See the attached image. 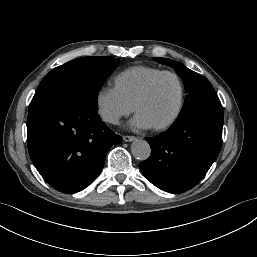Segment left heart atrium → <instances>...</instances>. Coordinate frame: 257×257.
<instances>
[{
	"mask_svg": "<svg viewBox=\"0 0 257 257\" xmlns=\"http://www.w3.org/2000/svg\"><path fill=\"white\" fill-rule=\"evenodd\" d=\"M130 125L134 129H147L152 127V124L140 113H136Z\"/></svg>",
	"mask_w": 257,
	"mask_h": 257,
	"instance_id": "obj_1",
	"label": "left heart atrium"
}]
</instances>
